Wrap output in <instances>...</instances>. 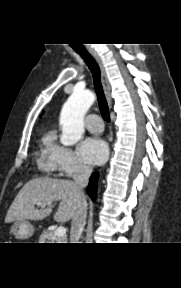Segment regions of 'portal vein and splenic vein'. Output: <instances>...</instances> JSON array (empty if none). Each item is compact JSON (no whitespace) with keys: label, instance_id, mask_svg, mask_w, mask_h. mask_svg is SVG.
<instances>
[{"label":"portal vein and splenic vein","instance_id":"obj_1","mask_svg":"<svg viewBox=\"0 0 181 288\" xmlns=\"http://www.w3.org/2000/svg\"><path fill=\"white\" fill-rule=\"evenodd\" d=\"M36 204L38 206L46 205V203H43V202H37ZM47 204H49V203H47ZM54 234L57 237H63L66 234V228L63 226H60L54 231Z\"/></svg>","mask_w":181,"mask_h":288}]
</instances>
